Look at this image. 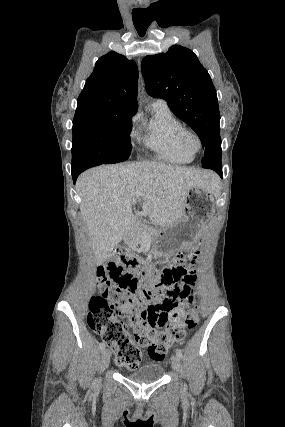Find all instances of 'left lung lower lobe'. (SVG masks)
Segmentation results:
<instances>
[{"label":"left lung lower lobe","instance_id":"left-lung-lower-lobe-1","mask_svg":"<svg viewBox=\"0 0 285 427\" xmlns=\"http://www.w3.org/2000/svg\"><path fill=\"white\" fill-rule=\"evenodd\" d=\"M216 172H217L220 176H222V168H221V166H220V167H218V168H216Z\"/></svg>","mask_w":285,"mask_h":427}]
</instances>
